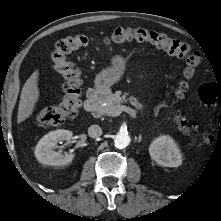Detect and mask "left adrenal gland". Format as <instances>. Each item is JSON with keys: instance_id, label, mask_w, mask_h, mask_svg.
I'll use <instances>...</instances> for the list:
<instances>
[{"instance_id": "1", "label": "left adrenal gland", "mask_w": 221, "mask_h": 221, "mask_svg": "<svg viewBox=\"0 0 221 221\" xmlns=\"http://www.w3.org/2000/svg\"><path fill=\"white\" fill-rule=\"evenodd\" d=\"M141 140H142V136L139 135L137 142H141Z\"/></svg>"}]
</instances>
